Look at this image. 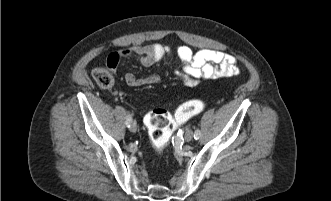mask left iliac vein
<instances>
[{
    "label": "left iliac vein",
    "mask_w": 331,
    "mask_h": 201,
    "mask_svg": "<svg viewBox=\"0 0 331 201\" xmlns=\"http://www.w3.org/2000/svg\"><path fill=\"white\" fill-rule=\"evenodd\" d=\"M194 137V133L191 129L186 130L184 138L187 142L191 141Z\"/></svg>",
    "instance_id": "1"
}]
</instances>
